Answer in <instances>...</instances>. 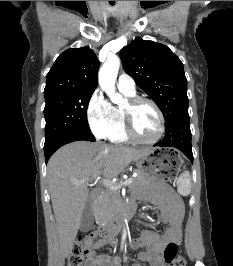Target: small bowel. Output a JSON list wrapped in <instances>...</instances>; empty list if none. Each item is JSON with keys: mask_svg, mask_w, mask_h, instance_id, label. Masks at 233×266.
<instances>
[{"mask_svg": "<svg viewBox=\"0 0 233 266\" xmlns=\"http://www.w3.org/2000/svg\"><path fill=\"white\" fill-rule=\"evenodd\" d=\"M148 199L158 207L166 224V229L161 234L142 230L140 237L133 241L132 247L134 249H144L143 252L138 254L139 262H149L151 266H166L163 260L164 249L168 244H179L182 238L183 203L180 197L168 186H161ZM113 244V240L109 242L105 239L96 240L94 238L90 243L85 266H120L118 257L97 253V250ZM134 266L141 265L136 263Z\"/></svg>", "mask_w": 233, "mask_h": 266, "instance_id": "1", "label": "small bowel"}]
</instances>
